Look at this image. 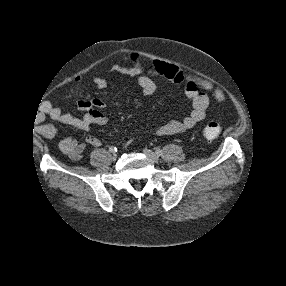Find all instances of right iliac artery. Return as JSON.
Segmentation results:
<instances>
[{
	"label": "right iliac artery",
	"instance_id": "right-iliac-artery-1",
	"mask_svg": "<svg viewBox=\"0 0 286 286\" xmlns=\"http://www.w3.org/2000/svg\"><path fill=\"white\" fill-rule=\"evenodd\" d=\"M109 151L111 153L117 152V148L112 146V147L109 148Z\"/></svg>",
	"mask_w": 286,
	"mask_h": 286
}]
</instances>
